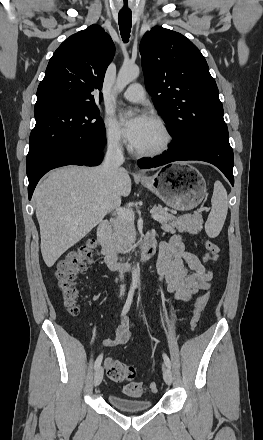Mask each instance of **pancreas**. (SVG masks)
I'll use <instances>...</instances> for the list:
<instances>
[{"instance_id":"obj_1","label":"pancreas","mask_w":263,"mask_h":440,"mask_svg":"<svg viewBox=\"0 0 263 440\" xmlns=\"http://www.w3.org/2000/svg\"><path fill=\"white\" fill-rule=\"evenodd\" d=\"M153 211L167 218L165 221H159L162 229L166 232L173 233L177 230L180 233L197 234L202 229L203 218L199 213L176 218L160 205L154 206ZM134 237L135 228L132 220L118 217L113 221V228L110 233V246L115 252L125 253L130 251L133 248Z\"/></svg>"}]
</instances>
